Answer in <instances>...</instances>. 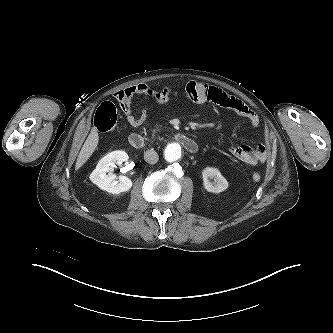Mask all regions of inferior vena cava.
<instances>
[{"label": "inferior vena cava", "instance_id": "602c4592", "mask_svg": "<svg viewBox=\"0 0 333 333\" xmlns=\"http://www.w3.org/2000/svg\"><path fill=\"white\" fill-rule=\"evenodd\" d=\"M159 159L157 152L154 149L147 150L144 153V160L149 164H155Z\"/></svg>", "mask_w": 333, "mask_h": 333}]
</instances>
